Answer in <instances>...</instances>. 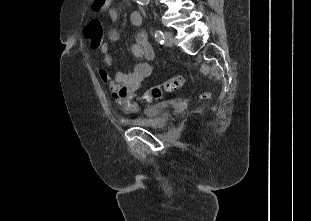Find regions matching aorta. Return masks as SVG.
<instances>
[{
    "instance_id": "aorta-1",
    "label": "aorta",
    "mask_w": 311,
    "mask_h": 221,
    "mask_svg": "<svg viewBox=\"0 0 311 221\" xmlns=\"http://www.w3.org/2000/svg\"><path fill=\"white\" fill-rule=\"evenodd\" d=\"M143 4H148L147 0H142Z\"/></svg>"
}]
</instances>
